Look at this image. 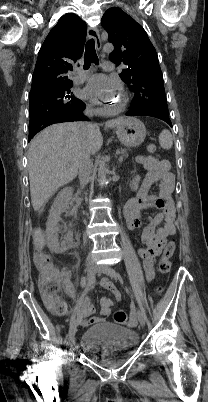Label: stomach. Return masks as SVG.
<instances>
[{
  "label": "stomach",
  "mask_w": 208,
  "mask_h": 402,
  "mask_svg": "<svg viewBox=\"0 0 208 402\" xmlns=\"http://www.w3.org/2000/svg\"><path fill=\"white\" fill-rule=\"evenodd\" d=\"M117 138L126 148H136L145 140L146 128L137 118H126L116 130Z\"/></svg>",
  "instance_id": "obj_1"
}]
</instances>
